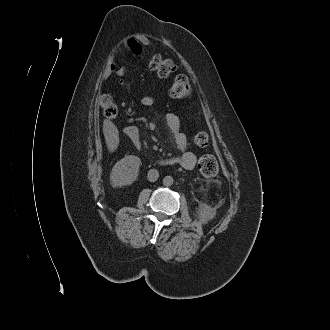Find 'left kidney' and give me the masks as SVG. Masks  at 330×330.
Here are the masks:
<instances>
[{
  "label": "left kidney",
  "mask_w": 330,
  "mask_h": 330,
  "mask_svg": "<svg viewBox=\"0 0 330 330\" xmlns=\"http://www.w3.org/2000/svg\"><path fill=\"white\" fill-rule=\"evenodd\" d=\"M197 215L201 223H207L216 216V209L203 203L198 207Z\"/></svg>",
  "instance_id": "left-kidney-1"
}]
</instances>
